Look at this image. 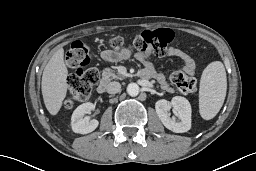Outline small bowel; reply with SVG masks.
<instances>
[{"mask_svg": "<svg viewBox=\"0 0 256 171\" xmlns=\"http://www.w3.org/2000/svg\"><path fill=\"white\" fill-rule=\"evenodd\" d=\"M168 56L176 57L184 61V69L187 73L193 74L195 70V62L193 58L184 50L170 47L167 52ZM130 56V51L128 49H122L121 51L115 52L111 50H104L100 53V57L103 60L109 62H115L123 59H127ZM140 59L147 64L146 69L143 71L144 78H152L154 79L161 87L167 89L168 84L166 78L163 74L158 73L155 69L148 64L145 56H140Z\"/></svg>", "mask_w": 256, "mask_h": 171, "instance_id": "obj_1", "label": "small bowel"}]
</instances>
